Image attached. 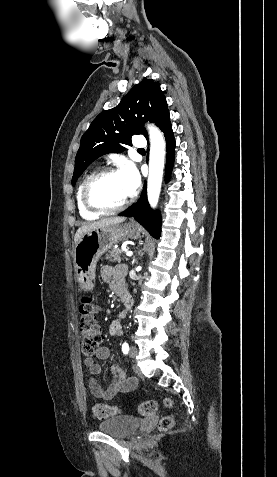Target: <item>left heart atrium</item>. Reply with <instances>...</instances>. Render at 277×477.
Listing matches in <instances>:
<instances>
[{
	"instance_id": "left-heart-atrium-1",
	"label": "left heart atrium",
	"mask_w": 277,
	"mask_h": 477,
	"mask_svg": "<svg viewBox=\"0 0 277 477\" xmlns=\"http://www.w3.org/2000/svg\"><path fill=\"white\" fill-rule=\"evenodd\" d=\"M119 175L123 182L127 196L136 193L140 185V175L132 163H125L119 170Z\"/></svg>"
}]
</instances>
